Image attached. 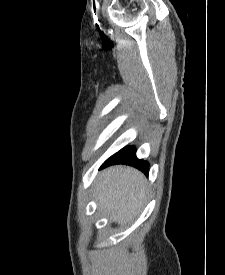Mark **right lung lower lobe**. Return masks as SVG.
<instances>
[{"instance_id":"98d812e1","label":"right lung lower lobe","mask_w":225,"mask_h":275,"mask_svg":"<svg viewBox=\"0 0 225 275\" xmlns=\"http://www.w3.org/2000/svg\"><path fill=\"white\" fill-rule=\"evenodd\" d=\"M112 164L132 165L144 172L145 174H148L149 171L148 163L146 161H142L136 158V149L134 147H125L121 149L119 152L106 160V162L103 164V167Z\"/></svg>"}]
</instances>
